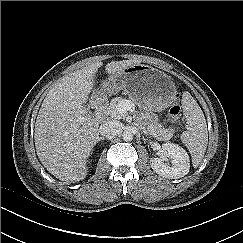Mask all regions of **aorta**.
Returning <instances> with one entry per match:
<instances>
[{
	"mask_svg": "<svg viewBox=\"0 0 243 243\" xmlns=\"http://www.w3.org/2000/svg\"><path fill=\"white\" fill-rule=\"evenodd\" d=\"M122 138L124 141H132L133 140V133L130 130H126L122 134Z\"/></svg>",
	"mask_w": 243,
	"mask_h": 243,
	"instance_id": "1",
	"label": "aorta"
}]
</instances>
